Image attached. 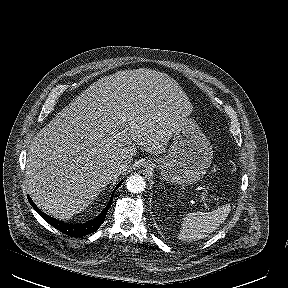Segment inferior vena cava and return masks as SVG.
<instances>
[{"instance_id":"602c4592","label":"inferior vena cava","mask_w":288,"mask_h":288,"mask_svg":"<svg viewBox=\"0 0 288 288\" xmlns=\"http://www.w3.org/2000/svg\"><path fill=\"white\" fill-rule=\"evenodd\" d=\"M124 167L125 166L123 164H120V163L110 164L107 167V169L105 170V175L108 178L113 179L123 172Z\"/></svg>"}]
</instances>
